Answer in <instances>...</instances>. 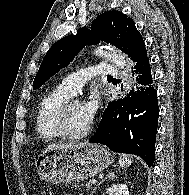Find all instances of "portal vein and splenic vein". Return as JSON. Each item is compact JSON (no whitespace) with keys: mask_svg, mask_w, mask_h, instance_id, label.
Instances as JSON below:
<instances>
[{"mask_svg":"<svg viewBox=\"0 0 189 195\" xmlns=\"http://www.w3.org/2000/svg\"><path fill=\"white\" fill-rule=\"evenodd\" d=\"M97 180H92L91 184H96Z\"/></svg>","mask_w":189,"mask_h":195,"instance_id":"obj_1","label":"portal vein and splenic vein"}]
</instances>
